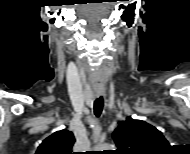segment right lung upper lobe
<instances>
[{"label":"right lung upper lobe","mask_w":190,"mask_h":154,"mask_svg":"<svg viewBox=\"0 0 190 154\" xmlns=\"http://www.w3.org/2000/svg\"><path fill=\"white\" fill-rule=\"evenodd\" d=\"M74 135L66 129L47 137L38 147L36 154H73Z\"/></svg>","instance_id":"1"}]
</instances>
